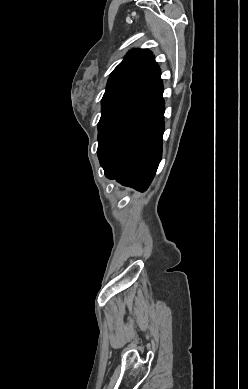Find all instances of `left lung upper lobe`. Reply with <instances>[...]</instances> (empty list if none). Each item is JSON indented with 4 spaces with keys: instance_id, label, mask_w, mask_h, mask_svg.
Here are the masks:
<instances>
[{
    "instance_id": "obj_1",
    "label": "left lung upper lobe",
    "mask_w": 248,
    "mask_h": 389,
    "mask_svg": "<svg viewBox=\"0 0 248 389\" xmlns=\"http://www.w3.org/2000/svg\"><path fill=\"white\" fill-rule=\"evenodd\" d=\"M154 63V55L147 49H137L128 53L108 79L102 98V109ZM98 140L100 144L102 140L99 137Z\"/></svg>"
}]
</instances>
